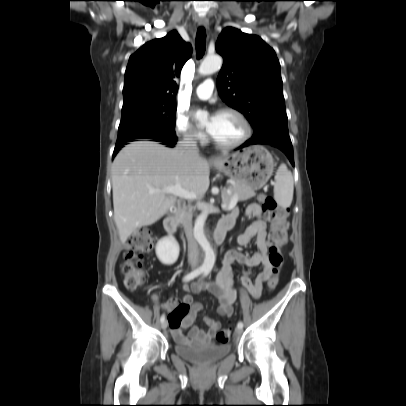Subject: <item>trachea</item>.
<instances>
[{
  "instance_id": "trachea-1",
  "label": "trachea",
  "mask_w": 406,
  "mask_h": 406,
  "mask_svg": "<svg viewBox=\"0 0 406 406\" xmlns=\"http://www.w3.org/2000/svg\"><path fill=\"white\" fill-rule=\"evenodd\" d=\"M206 49V30L204 27H200L197 30L196 34V54L197 58L200 59L205 52Z\"/></svg>"
}]
</instances>
